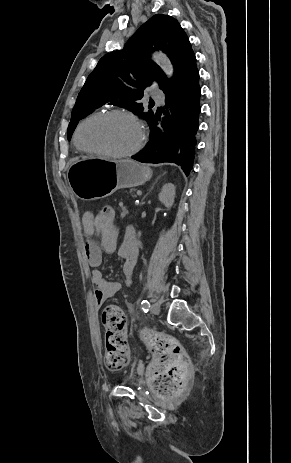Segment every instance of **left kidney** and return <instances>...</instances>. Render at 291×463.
Wrapping results in <instances>:
<instances>
[{
    "mask_svg": "<svg viewBox=\"0 0 291 463\" xmlns=\"http://www.w3.org/2000/svg\"><path fill=\"white\" fill-rule=\"evenodd\" d=\"M174 198L175 186L172 183L165 184L159 193L160 202L163 203L167 208H171L174 204Z\"/></svg>",
    "mask_w": 291,
    "mask_h": 463,
    "instance_id": "obj_1",
    "label": "left kidney"
}]
</instances>
